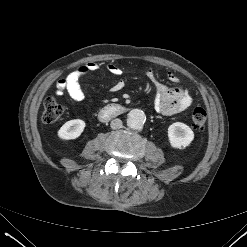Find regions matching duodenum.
Returning a JSON list of instances; mask_svg holds the SVG:
<instances>
[{
  "mask_svg": "<svg viewBox=\"0 0 247 247\" xmlns=\"http://www.w3.org/2000/svg\"><path fill=\"white\" fill-rule=\"evenodd\" d=\"M125 110H126L125 107L119 104H109L101 109V111L99 112V118L102 121H106L121 115L122 113L125 112Z\"/></svg>",
  "mask_w": 247,
  "mask_h": 247,
  "instance_id": "duodenum-1",
  "label": "duodenum"
}]
</instances>
